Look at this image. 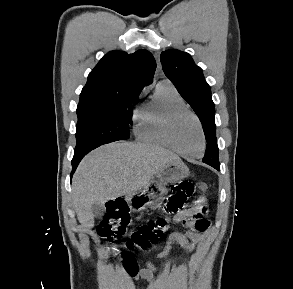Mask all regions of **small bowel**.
Masks as SVG:
<instances>
[{
  "label": "small bowel",
  "mask_w": 293,
  "mask_h": 289,
  "mask_svg": "<svg viewBox=\"0 0 293 289\" xmlns=\"http://www.w3.org/2000/svg\"><path fill=\"white\" fill-rule=\"evenodd\" d=\"M206 199L203 196H198L195 200V204L192 208L179 211L174 216V227L169 232L168 237L165 241L163 249L156 254V259H164L168 256L171 251L172 245L174 243L180 244L186 251L192 252L197 245H199L202 240V233L206 232L210 226V222L206 217L199 216V210L203 204H205ZM194 220L199 224L203 225V228L195 230H180L177 228V224L184 222L185 220ZM157 267L148 262L146 267L141 269L139 275L141 278L145 279L147 282V289H166L168 276L165 274L156 275Z\"/></svg>",
  "instance_id": "obj_1"
}]
</instances>
